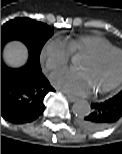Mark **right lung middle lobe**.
<instances>
[{"label":"right lung middle lobe","instance_id":"1","mask_svg":"<svg viewBox=\"0 0 122 154\" xmlns=\"http://www.w3.org/2000/svg\"><path fill=\"white\" fill-rule=\"evenodd\" d=\"M52 35V28L44 23L16 18L1 27V46L10 40H20L27 46L31 57L40 64L41 50Z\"/></svg>","mask_w":122,"mask_h":154}]
</instances>
